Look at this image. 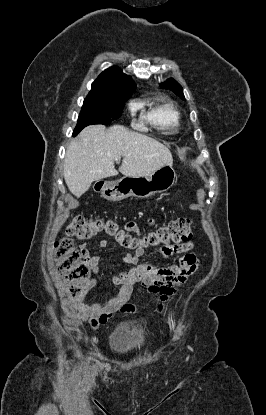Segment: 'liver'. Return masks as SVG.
Returning a JSON list of instances; mask_svg holds the SVG:
<instances>
[{"label": "liver", "mask_w": 266, "mask_h": 415, "mask_svg": "<svg viewBox=\"0 0 266 415\" xmlns=\"http://www.w3.org/2000/svg\"><path fill=\"white\" fill-rule=\"evenodd\" d=\"M123 157L120 173L148 176L165 165H172L170 150L157 140L113 125H90L73 139L66 150L64 179L69 191L82 196L94 181L116 176L114 161Z\"/></svg>", "instance_id": "6515ba94"}]
</instances>
